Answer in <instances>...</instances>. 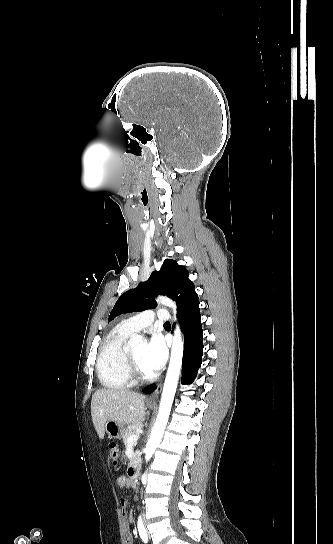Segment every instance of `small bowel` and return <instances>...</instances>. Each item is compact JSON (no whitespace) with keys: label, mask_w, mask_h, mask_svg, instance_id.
<instances>
[{"label":"small bowel","mask_w":333,"mask_h":544,"mask_svg":"<svg viewBox=\"0 0 333 544\" xmlns=\"http://www.w3.org/2000/svg\"><path fill=\"white\" fill-rule=\"evenodd\" d=\"M117 483H118L119 487H121V488H132L133 487V483L128 478H126L125 476H120L118 478V480H117ZM120 505H121L122 515L125 518L127 516L126 500L121 499L120 500ZM126 541H127V544H133V536L129 532L126 534Z\"/></svg>","instance_id":"c3829d8e"}]
</instances>
